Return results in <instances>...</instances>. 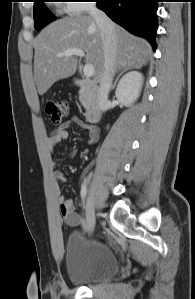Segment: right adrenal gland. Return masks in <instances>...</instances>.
Wrapping results in <instances>:
<instances>
[{
  "instance_id": "right-adrenal-gland-1",
  "label": "right adrenal gland",
  "mask_w": 195,
  "mask_h": 299,
  "mask_svg": "<svg viewBox=\"0 0 195 299\" xmlns=\"http://www.w3.org/2000/svg\"><path fill=\"white\" fill-rule=\"evenodd\" d=\"M135 68H140V67H135ZM131 69H133V67H126L125 69H123V70L118 74V76H117L115 82L113 83V85H112V87H111L112 90L116 87V84H117V82H118L120 76L123 75V73H125V72H127L128 70H131Z\"/></svg>"
}]
</instances>
